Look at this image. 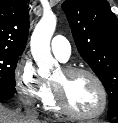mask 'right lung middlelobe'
<instances>
[{
  "instance_id": "obj_1",
  "label": "right lung middle lobe",
  "mask_w": 118,
  "mask_h": 123,
  "mask_svg": "<svg viewBox=\"0 0 118 123\" xmlns=\"http://www.w3.org/2000/svg\"><path fill=\"white\" fill-rule=\"evenodd\" d=\"M21 54L0 49V91L16 92L15 68Z\"/></svg>"
}]
</instances>
